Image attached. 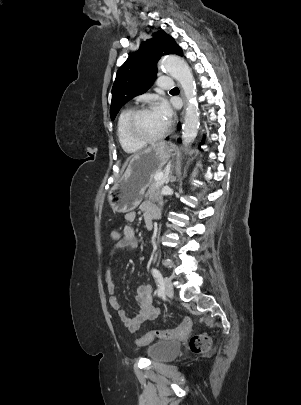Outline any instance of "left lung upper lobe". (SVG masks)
Returning a JSON list of instances; mask_svg holds the SVG:
<instances>
[{
	"label": "left lung upper lobe",
	"mask_w": 301,
	"mask_h": 405,
	"mask_svg": "<svg viewBox=\"0 0 301 405\" xmlns=\"http://www.w3.org/2000/svg\"><path fill=\"white\" fill-rule=\"evenodd\" d=\"M153 36L154 38L142 42L138 51L130 55L117 72L112 87L110 108L112 120L128 100L150 88L157 73L156 63L161 56L168 54L183 56L182 49L164 31H158Z\"/></svg>",
	"instance_id": "left-lung-upper-lobe-1"
}]
</instances>
